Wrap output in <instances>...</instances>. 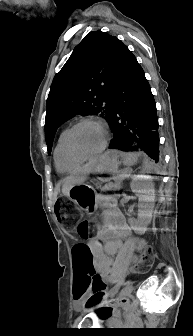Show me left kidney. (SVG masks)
<instances>
[{
  "instance_id": "left-kidney-1",
  "label": "left kidney",
  "mask_w": 193,
  "mask_h": 336,
  "mask_svg": "<svg viewBox=\"0 0 193 336\" xmlns=\"http://www.w3.org/2000/svg\"><path fill=\"white\" fill-rule=\"evenodd\" d=\"M133 192L138 193L140 203V220L148 225L151 221L154 202H155V189L150 176H137L133 178L131 184ZM133 223V220L130 219Z\"/></svg>"
}]
</instances>
